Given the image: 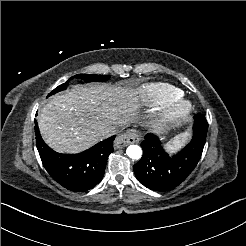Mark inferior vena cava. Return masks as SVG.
I'll list each match as a JSON object with an SVG mask.
<instances>
[{"mask_svg":"<svg viewBox=\"0 0 246 246\" xmlns=\"http://www.w3.org/2000/svg\"><path fill=\"white\" fill-rule=\"evenodd\" d=\"M118 132L117 128H113L112 130H110L109 132V136L115 135Z\"/></svg>","mask_w":246,"mask_h":246,"instance_id":"inferior-vena-cava-1","label":"inferior vena cava"}]
</instances>
